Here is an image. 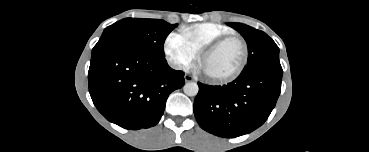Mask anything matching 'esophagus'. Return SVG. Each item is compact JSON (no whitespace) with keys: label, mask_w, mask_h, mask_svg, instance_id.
I'll use <instances>...</instances> for the list:
<instances>
[{"label":"esophagus","mask_w":369,"mask_h":152,"mask_svg":"<svg viewBox=\"0 0 369 152\" xmlns=\"http://www.w3.org/2000/svg\"><path fill=\"white\" fill-rule=\"evenodd\" d=\"M184 79L186 82L194 81V78L188 74H185Z\"/></svg>","instance_id":"esophagus-1"}]
</instances>
